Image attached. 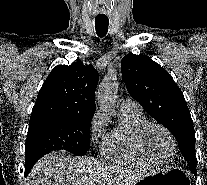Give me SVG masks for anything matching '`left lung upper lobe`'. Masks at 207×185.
Here are the masks:
<instances>
[{
	"label": "left lung upper lobe",
	"instance_id": "left-lung-upper-lobe-1",
	"mask_svg": "<svg viewBox=\"0 0 207 185\" xmlns=\"http://www.w3.org/2000/svg\"><path fill=\"white\" fill-rule=\"evenodd\" d=\"M121 69L129 94L175 136L189 168L195 169L193 121L184 95L172 76L146 55H126Z\"/></svg>",
	"mask_w": 207,
	"mask_h": 185
}]
</instances>
